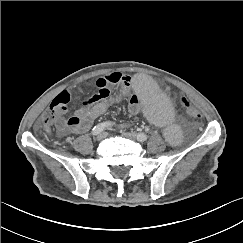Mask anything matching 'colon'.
Here are the masks:
<instances>
[{
    "mask_svg": "<svg viewBox=\"0 0 243 243\" xmlns=\"http://www.w3.org/2000/svg\"><path fill=\"white\" fill-rule=\"evenodd\" d=\"M69 102V94L66 91L60 92L52 101L50 108L44 113L41 120V127L44 131L50 132L52 125L59 113L67 110ZM180 103L183 110L193 118H199L198 109L191 103V98L188 95H183L180 98Z\"/></svg>",
    "mask_w": 243,
    "mask_h": 243,
    "instance_id": "colon-1",
    "label": "colon"
}]
</instances>
